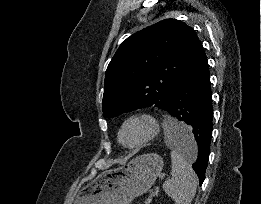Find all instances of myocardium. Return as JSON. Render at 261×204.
<instances>
[{"label":"myocardium","mask_w":261,"mask_h":204,"mask_svg":"<svg viewBox=\"0 0 261 204\" xmlns=\"http://www.w3.org/2000/svg\"><path fill=\"white\" fill-rule=\"evenodd\" d=\"M133 122H142L146 124L147 126V133L146 135L140 139L139 141L133 143V144H126L122 140V133L127 125L133 123ZM160 132V123L158 119L151 113L148 112H137L134 114L129 115L125 120L122 122L119 130H118V141L119 143L127 148V149H138L149 142H151L153 139H155Z\"/></svg>","instance_id":"1"}]
</instances>
